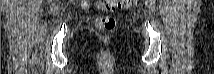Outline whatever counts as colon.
Returning <instances> with one entry per match:
<instances>
[{
	"instance_id": "colon-1",
	"label": "colon",
	"mask_w": 214,
	"mask_h": 74,
	"mask_svg": "<svg viewBox=\"0 0 214 74\" xmlns=\"http://www.w3.org/2000/svg\"><path fill=\"white\" fill-rule=\"evenodd\" d=\"M132 4V0H108L98 2L97 6L104 11H113L116 8L128 9L132 6ZM89 7L90 1H84L83 8L89 9ZM98 26L104 31H112L116 27V20L112 16H105L100 18Z\"/></svg>"
}]
</instances>
